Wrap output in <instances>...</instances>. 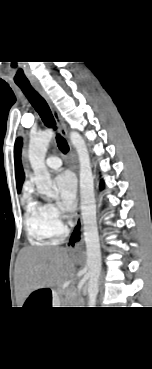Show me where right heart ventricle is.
<instances>
[{
	"mask_svg": "<svg viewBox=\"0 0 152 369\" xmlns=\"http://www.w3.org/2000/svg\"><path fill=\"white\" fill-rule=\"evenodd\" d=\"M24 224L28 238L33 245L55 242L63 233L50 221L46 205L38 203L31 195L25 196Z\"/></svg>",
	"mask_w": 152,
	"mask_h": 369,
	"instance_id": "obj_1",
	"label": "right heart ventricle"
}]
</instances>
